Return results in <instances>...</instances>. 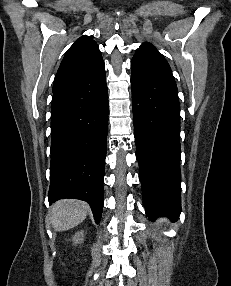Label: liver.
I'll return each instance as SVG.
<instances>
[{
	"label": "liver",
	"mask_w": 231,
	"mask_h": 286,
	"mask_svg": "<svg viewBox=\"0 0 231 286\" xmlns=\"http://www.w3.org/2000/svg\"><path fill=\"white\" fill-rule=\"evenodd\" d=\"M89 206L80 200L63 199L51 207L50 221L55 231H66L79 225L87 216Z\"/></svg>",
	"instance_id": "6515ba94"
}]
</instances>
